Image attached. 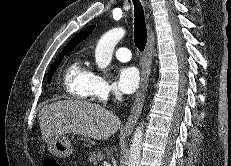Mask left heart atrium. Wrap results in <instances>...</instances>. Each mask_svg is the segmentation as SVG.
I'll use <instances>...</instances> for the list:
<instances>
[{
    "mask_svg": "<svg viewBox=\"0 0 231 166\" xmlns=\"http://www.w3.org/2000/svg\"><path fill=\"white\" fill-rule=\"evenodd\" d=\"M140 82V74L137 68L132 66L122 67L118 72L117 86L126 94L134 92Z\"/></svg>",
    "mask_w": 231,
    "mask_h": 166,
    "instance_id": "left-heart-atrium-1",
    "label": "left heart atrium"
}]
</instances>
